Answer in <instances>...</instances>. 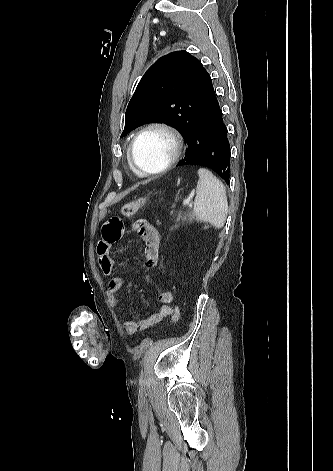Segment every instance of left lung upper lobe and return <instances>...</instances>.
<instances>
[{
	"mask_svg": "<svg viewBox=\"0 0 333 471\" xmlns=\"http://www.w3.org/2000/svg\"><path fill=\"white\" fill-rule=\"evenodd\" d=\"M212 89L210 75L188 52L159 58L146 71L127 106L121 137L149 122H167L187 141Z\"/></svg>",
	"mask_w": 333,
	"mask_h": 471,
	"instance_id": "left-lung-upper-lobe-1",
	"label": "left lung upper lobe"
}]
</instances>
